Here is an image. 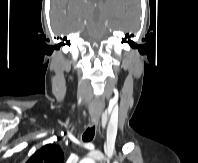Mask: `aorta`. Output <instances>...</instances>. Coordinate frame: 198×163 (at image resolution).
Returning a JSON list of instances; mask_svg holds the SVG:
<instances>
[{
	"mask_svg": "<svg viewBox=\"0 0 198 163\" xmlns=\"http://www.w3.org/2000/svg\"><path fill=\"white\" fill-rule=\"evenodd\" d=\"M79 163H95V161L90 158H84Z\"/></svg>",
	"mask_w": 198,
	"mask_h": 163,
	"instance_id": "obj_1",
	"label": "aorta"
}]
</instances>
